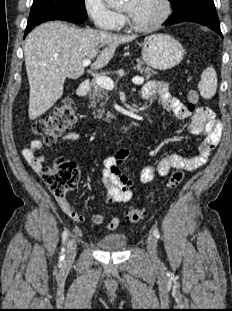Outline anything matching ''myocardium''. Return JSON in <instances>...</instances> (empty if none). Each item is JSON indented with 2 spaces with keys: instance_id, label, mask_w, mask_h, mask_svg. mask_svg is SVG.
Listing matches in <instances>:
<instances>
[{
  "instance_id": "f54148a6",
  "label": "myocardium",
  "mask_w": 232,
  "mask_h": 311,
  "mask_svg": "<svg viewBox=\"0 0 232 311\" xmlns=\"http://www.w3.org/2000/svg\"><path fill=\"white\" fill-rule=\"evenodd\" d=\"M162 5V11L159 17L152 23L147 25H139L133 22L129 14L126 15L127 25L134 31L147 33L152 32L162 26L170 16L171 13V4L169 0H160Z\"/></svg>"
}]
</instances>
